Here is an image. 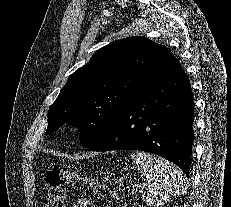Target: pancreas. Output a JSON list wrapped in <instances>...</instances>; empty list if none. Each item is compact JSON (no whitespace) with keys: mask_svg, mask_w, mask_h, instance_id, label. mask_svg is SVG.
I'll return each instance as SVG.
<instances>
[{"mask_svg":"<svg viewBox=\"0 0 231 207\" xmlns=\"http://www.w3.org/2000/svg\"><path fill=\"white\" fill-rule=\"evenodd\" d=\"M110 194H111L112 198L118 199V193L117 192L114 191V192H111Z\"/></svg>","mask_w":231,"mask_h":207,"instance_id":"cf45deb5","label":"pancreas"}]
</instances>
